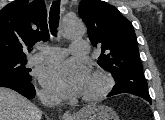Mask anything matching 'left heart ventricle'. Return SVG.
<instances>
[{"label":"left heart ventricle","mask_w":165,"mask_h":120,"mask_svg":"<svg viewBox=\"0 0 165 120\" xmlns=\"http://www.w3.org/2000/svg\"><path fill=\"white\" fill-rule=\"evenodd\" d=\"M100 87H101V81L90 75L89 80L82 93V96L90 95L96 92Z\"/></svg>","instance_id":"obj_1"}]
</instances>
